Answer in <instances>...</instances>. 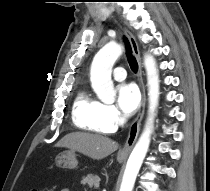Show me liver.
Here are the masks:
<instances>
[{"instance_id":"6515ba94","label":"liver","mask_w":210,"mask_h":191,"mask_svg":"<svg viewBox=\"0 0 210 191\" xmlns=\"http://www.w3.org/2000/svg\"><path fill=\"white\" fill-rule=\"evenodd\" d=\"M55 147H64L78 151L92 159L100 160L118 149V144L108 137L85 132H73L65 135Z\"/></svg>"}]
</instances>
